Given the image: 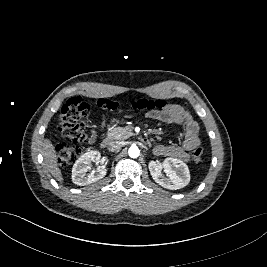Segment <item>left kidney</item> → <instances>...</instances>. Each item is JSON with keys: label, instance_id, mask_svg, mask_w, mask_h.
Returning a JSON list of instances; mask_svg holds the SVG:
<instances>
[{"label": "left kidney", "instance_id": "left-kidney-1", "mask_svg": "<svg viewBox=\"0 0 267 267\" xmlns=\"http://www.w3.org/2000/svg\"><path fill=\"white\" fill-rule=\"evenodd\" d=\"M148 167L153 180L166 189H181L190 182L188 166L179 159L169 157L162 164L150 161ZM162 170L166 176L162 174Z\"/></svg>", "mask_w": 267, "mask_h": 267}]
</instances>
